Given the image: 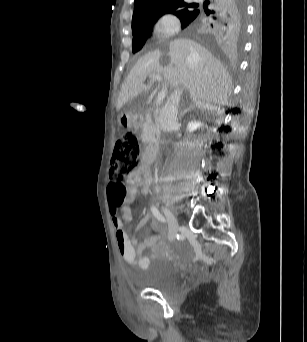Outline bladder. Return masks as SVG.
I'll return each instance as SVG.
<instances>
[{
  "mask_svg": "<svg viewBox=\"0 0 307 342\" xmlns=\"http://www.w3.org/2000/svg\"><path fill=\"white\" fill-rule=\"evenodd\" d=\"M180 281L178 269L165 259L152 261L145 277L146 287L161 292L174 289Z\"/></svg>",
  "mask_w": 307,
  "mask_h": 342,
  "instance_id": "1",
  "label": "bladder"
}]
</instances>
